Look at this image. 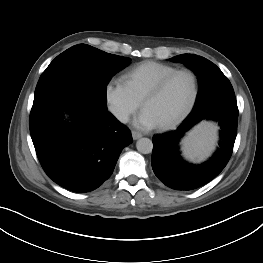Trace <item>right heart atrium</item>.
I'll use <instances>...</instances> for the list:
<instances>
[{"mask_svg":"<svg viewBox=\"0 0 263 263\" xmlns=\"http://www.w3.org/2000/svg\"><path fill=\"white\" fill-rule=\"evenodd\" d=\"M108 111L120 123H126L140 107V101L130 92L123 80L110 78L104 86Z\"/></svg>","mask_w":263,"mask_h":263,"instance_id":"d8ad5b80","label":"right heart atrium"}]
</instances>
